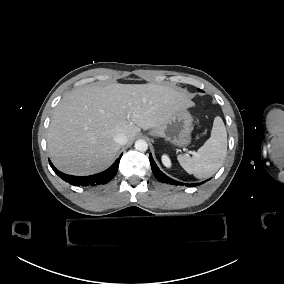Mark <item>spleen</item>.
I'll use <instances>...</instances> for the list:
<instances>
[{
	"instance_id": "1",
	"label": "spleen",
	"mask_w": 284,
	"mask_h": 284,
	"mask_svg": "<svg viewBox=\"0 0 284 284\" xmlns=\"http://www.w3.org/2000/svg\"><path fill=\"white\" fill-rule=\"evenodd\" d=\"M227 154V131L220 116L214 118L210 138L195 155H178L180 165L196 178H208L222 166Z\"/></svg>"
}]
</instances>
